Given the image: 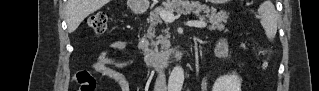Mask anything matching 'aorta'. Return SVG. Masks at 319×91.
<instances>
[{"label": "aorta", "instance_id": "1", "mask_svg": "<svg viewBox=\"0 0 319 91\" xmlns=\"http://www.w3.org/2000/svg\"><path fill=\"white\" fill-rule=\"evenodd\" d=\"M184 83V70L181 66L173 68L168 82V88L170 91H181Z\"/></svg>", "mask_w": 319, "mask_h": 91}]
</instances>
